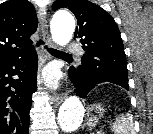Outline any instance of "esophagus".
<instances>
[{
    "mask_svg": "<svg viewBox=\"0 0 153 134\" xmlns=\"http://www.w3.org/2000/svg\"><path fill=\"white\" fill-rule=\"evenodd\" d=\"M39 22L41 25V29H42V33H43V38L45 41V44L50 47V48H54L55 44L52 41L49 31H48V25H47V19L46 16L43 13L39 14ZM43 52H45V50H42ZM65 98V94L63 93H54L52 96V100L59 105Z\"/></svg>",
    "mask_w": 153,
    "mask_h": 134,
    "instance_id": "obj_1",
    "label": "esophagus"
}]
</instances>
